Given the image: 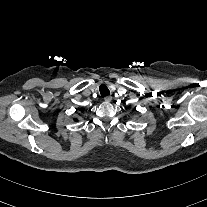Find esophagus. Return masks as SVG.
<instances>
[{
  "label": "esophagus",
  "mask_w": 207,
  "mask_h": 207,
  "mask_svg": "<svg viewBox=\"0 0 207 207\" xmlns=\"http://www.w3.org/2000/svg\"><path fill=\"white\" fill-rule=\"evenodd\" d=\"M104 100H105L106 102H111V100H112V96H110V95L105 96V97H104Z\"/></svg>",
  "instance_id": "esophagus-1"
}]
</instances>
